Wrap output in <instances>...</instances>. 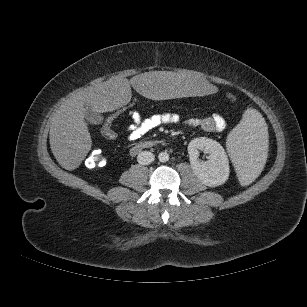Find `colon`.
Masks as SVG:
<instances>
[{
	"label": "colon",
	"instance_id": "colon-1",
	"mask_svg": "<svg viewBox=\"0 0 307 307\" xmlns=\"http://www.w3.org/2000/svg\"><path fill=\"white\" fill-rule=\"evenodd\" d=\"M134 104H135L134 100L129 101L125 105L107 114L100 127L101 134L109 139L115 138L117 133L112 127L113 123L124 114L130 116V114L133 112L131 111V108L133 107ZM106 163H107L106 157L100 149L91 150L85 158V165L88 168L103 167L106 165Z\"/></svg>",
	"mask_w": 307,
	"mask_h": 307
}]
</instances>
